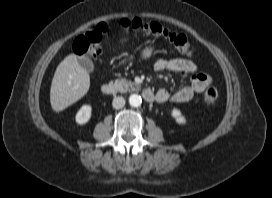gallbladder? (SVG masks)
<instances>
[{
    "instance_id": "obj_1",
    "label": "gallbladder",
    "mask_w": 272,
    "mask_h": 198,
    "mask_svg": "<svg viewBox=\"0 0 272 198\" xmlns=\"http://www.w3.org/2000/svg\"><path fill=\"white\" fill-rule=\"evenodd\" d=\"M79 64L88 72H93L94 63L88 56L79 57Z\"/></svg>"
}]
</instances>
